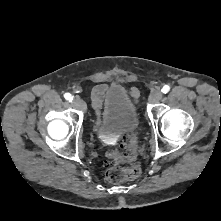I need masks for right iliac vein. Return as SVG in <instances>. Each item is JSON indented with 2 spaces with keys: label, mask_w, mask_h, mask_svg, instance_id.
<instances>
[{
  "label": "right iliac vein",
  "mask_w": 221,
  "mask_h": 221,
  "mask_svg": "<svg viewBox=\"0 0 221 221\" xmlns=\"http://www.w3.org/2000/svg\"><path fill=\"white\" fill-rule=\"evenodd\" d=\"M73 105H74V107H76L77 109H80V110L86 109V105H85L84 101L82 99H80L79 97L74 98Z\"/></svg>",
  "instance_id": "63e3f726"
}]
</instances>
